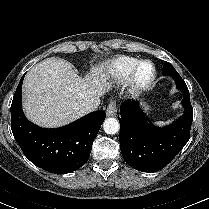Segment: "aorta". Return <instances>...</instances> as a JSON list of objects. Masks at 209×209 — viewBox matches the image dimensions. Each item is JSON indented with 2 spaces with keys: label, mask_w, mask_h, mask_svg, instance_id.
I'll use <instances>...</instances> for the list:
<instances>
[{
  "label": "aorta",
  "mask_w": 209,
  "mask_h": 209,
  "mask_svg": "<svg viewBox=\"0 0 209 209\" xmlns=\"http://www.w3.org/2000/svg\"><path fill=\"white\" fill-rule=\"evenodd\" d=\"M119 127L120 125H119L118 120L113 117L106 118L103 123V129L105 133L110 134V135L118 133Z\"/></svg>",
  "instance_id": "1"
}]
</instances>
